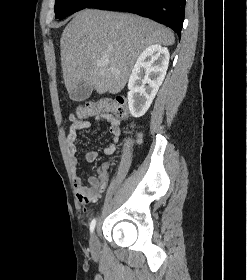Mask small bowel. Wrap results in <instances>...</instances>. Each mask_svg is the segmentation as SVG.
Masks as SVG:
<instances>
[{
  "label": "small bowel",
  "mask_w": 247,
  "mask_h": 280,
  "mask_svg": "<svg viewBox=\"0 0 247 280\" xmlns=\"http://www.w3.org/2000/svg\"><path fill=\"white\" fill-rule=\"evenodd\" d=\"M104 119L109 124V132L111 135V143L104 149V153L111 155L115 152L117 143L121 134V122L111 114H102L96 117ZM92 126L89 119L75 120L71 123L69 132L66 137L67 153L69 156L70 166L73 172V184L78 201L83 205H89L98 200L108 184L107 172L108 165L103 164L96 176H90L87 184H84L80 174L78 173L79 160L77 157V141L78 133ZM97 151L90 150L84 155L86 162H94L98 159Z\"/></svg>",
  "instance_id": "obj_1"
}]
</instances>
